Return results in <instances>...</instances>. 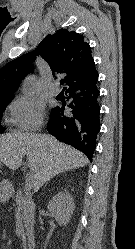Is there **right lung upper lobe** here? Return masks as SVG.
<instances>
[{"label":"right lung upper lobe","instance_id":"obj_1","mask_svg":"<svg viewBox=\"0 0 135 249\" xmlns=\"http://www.w3.org/2000/svg\"><path fill=\"white\" fill-rule=\"evenodd\" d=\"M38 53L54 73L66 75L68 87L97 73L91 48L84 37L75 31L60 29L46 36L33 52L10 61L0 70V101L13 97L22 79L32 71V62Z\"/></svg>","mask_w":135,"mask_h":249}]
</instances>
